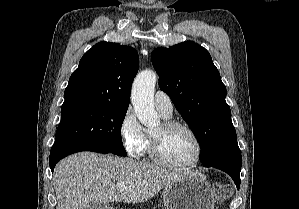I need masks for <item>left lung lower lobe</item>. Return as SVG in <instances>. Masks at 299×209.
Returning <instances> with one entry per match:
<instances>
[{
    "label": "left lung lower lobe",
    "mask_w": 299,
    "mask_h": 209,
    "mask_svg": "<svg viewBox=\"0 0 299 209\" xmlns=\"http://www.w3.org/2000/svg\"><path fill=\"white\" fill-rule=\"evenodd\" d=\"M241 152L237 143V136L225 139L218 148L203 162L204 167H214L228 173L234 180L237 189L240 186Z\"/></svg>",
    "instance_id": "obj_1"
}]
</instances>
